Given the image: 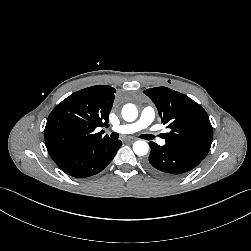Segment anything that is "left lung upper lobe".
I'll return each instance as SVG.
<instances>
[{
    "label": "left lung upper lobe",
    "mask_w": 251,
    "mask_h": 251,
    "mask_svg": "<svg viewBox=\"0 0 251 251\" xmlns=\"http://www.w3.org/2000/svg\"><path fill=\"white\" fill-rule=\"evenodd\" d=\"M144 93L155 103L164 125L166 144L202 158L208 154L213 128L206 111L188 96L167 87L147 89Z\"/></svg>",
    "instance_id": "5c2ea615"
}]
</instances>
